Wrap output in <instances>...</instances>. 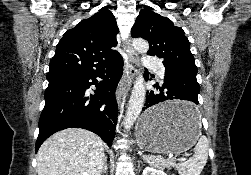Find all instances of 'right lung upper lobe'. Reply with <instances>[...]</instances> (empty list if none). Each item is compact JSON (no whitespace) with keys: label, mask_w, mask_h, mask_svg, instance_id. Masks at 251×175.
<instances>
[{"label":"right lung upper lobe","mask_w":251,"mask_h":175,"mask_svg":"<svg viewBox=\"0 0 251 175\" xmlns=\"http://www.w3.org/2000/svg\"><path fill=\"white\" fill-rule=\"evenodd\" d=\"M119 32L115 17L103 9L68 30L59 41L50 62L47 79L104 69L121 55L112 50Z\"/></svg>","instance_id":"right-lung-upper-lobe-1"}]
</instances>
